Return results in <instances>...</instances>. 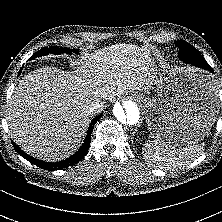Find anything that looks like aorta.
Listing matches in <instances>:
<instances>
[{"instance_id":"1","label":"aorta","mask_w":222,"mask_h":222,"mask_svg":"<svg viewBox=\"0 0 222 222\" xmlns=\"http://www.w3.org/2000/svg\"><path fill=\"white\" fill-rule=\"evenodd\" d=\"M115 120L122 126L136 125L140 120V108L133 100L116 103L112 110Z\"/></svg>"}]
</instances>
